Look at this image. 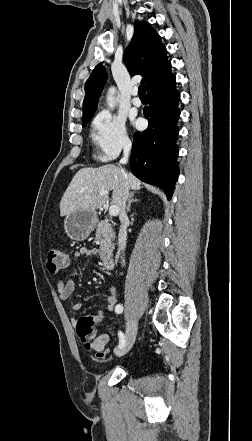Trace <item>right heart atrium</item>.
<instances>
[{"instance_id":"1","label":"right heart atrium","mask_w":252,"mask_h":441,"mask_svg":"<svg viewBox=\"0 0 252 441\" xmlns=\"http://www.w3.org/2000/svg\"><path fill=\"white\" fill-rule=\"evenodd\" d=\"M92 129V140L100 161H111L130 150L131 141L124 117L107 110L101 111L94 118Z\"/></svg>"}]
</instances>
